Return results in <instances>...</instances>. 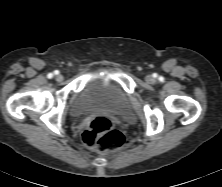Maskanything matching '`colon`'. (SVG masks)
<instances>
[{"label":"colon","instance_id":"1","mask_svg":"<svg viewBox=\"0 0 222 187\" xmlns=\"http://www.w3.org/2000/svg\"><path fill=\"white\" fill-rule=\"evenodd\" d=\"M82 140L88 147L102 151L119 149L125 145L124 135L105 116H98L89 123L82 134Z\"/></svg>","mask_w":222,"mask_h":187}]
</instances>
